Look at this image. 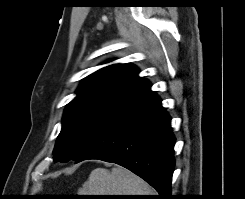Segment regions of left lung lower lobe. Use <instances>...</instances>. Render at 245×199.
Here are the masks:
<instances>
[{"mask_svg":"<svg viewBox=\"0 0 245 199\" xmlns=\"http://www.w3.org/2000/svg\"><path fill=\"white\" fill-rule=\"evenodd\" d=\"M171 118L151 86L113 117L76 159H99L122 165L159 192L171 196L175 138Z\"/></svg>","mask_w":245,"mask_h":199,"instance_id":"0a47b994","label":"left lung lower lobe"}]
</instances>
